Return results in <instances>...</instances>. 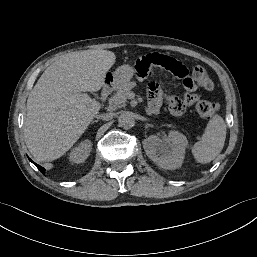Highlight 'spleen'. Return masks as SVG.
<instances>
[{
  "label": "spleen",
  "instance_id": "obj_1",
  "mask_svg": "<svg viewBox=\"0 0 257 257\" xmlns=\"http://www.w3.org/2000/svg\"><path fill=\"white\" fill-rule=\"evenodd\" d=\"M226 139V124L219 115L209 120L200 140L192 148L194 158L202 164L209 163L221 152Z\"/></svg>",
  "mask_w": 257,
  "mask_h": 257
}]
</instances>
